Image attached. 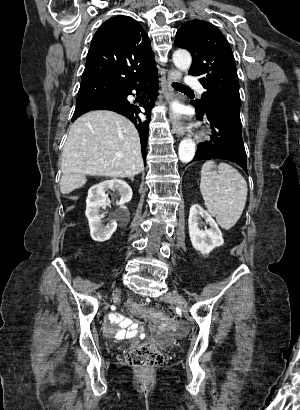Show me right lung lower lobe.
I'll return each mask as SVG.
<instances>
[{
  "mask_svg": "<svg viewBox=\"0 0 300 410\" xmlns=\"http://www.w3.org/2000/svg\"><path fill=\"white\" fill-rule=\"evenodd\" d=\"M157 84L158 79L157 75H155L145 79L142 82L131 85L125 90L124 99L102 97L77 103L72 121L76 120L80 115L88 111L99 109L111 110L127 117L133 122L139 132L141 138L142 156L145 161L149 121L151 117V109L153 108L155 96L157 95ZM145 89L149 90V96L145 101L140 103V106L144 109V114L147 116V120L143 121L139 115L142 113L140 107L129 103L127 96L132 94V90H136L139 93Z\"/></svg>",
  "mask_w": 300,
  "mask_h": 410,
  "instance_id": "98d812e1",
  "label": "right lung lower lobe"
}]
</instances>
